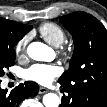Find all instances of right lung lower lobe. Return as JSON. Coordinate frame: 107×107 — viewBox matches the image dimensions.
Masks as SVG:
<instances>
[{
    "mask_svg": "<svg viewBox=\"0 0 107 107\" xmlns=\"http://www.w3.org/2000/svg\"><path fill=\"white\" fill-rule=\"evenodd\" d=\"M39 86L35 82L26 81L14 88L10 93L0 88V107H18L22 100L36 96Z\"/></svg>",
    "mask_w": 107,
    "mask_h": 107,
    "instance_id": "1",
    "label": "right lung lower lobe"
}]
</instances>
